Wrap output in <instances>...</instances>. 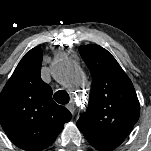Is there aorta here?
Masks as SVG:
<instances>
[{"label":"aorta","instance_id":"1","mask_svg":"<svg viewBox=\"0 0 151 151\" xmlns=\"http://www.w3.org/2000/svg\"><path fill=\"white\" fill-rule=\"evenodd\" d=\"M77 71L73 62L68 60L57 61L52 69V72L56 76H74Z\"/></svg>","mask_w":151,"mask_h":151}]
</instances>
